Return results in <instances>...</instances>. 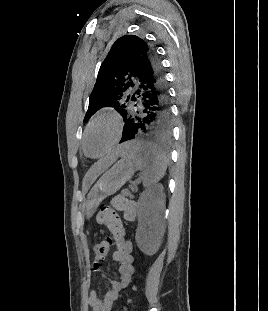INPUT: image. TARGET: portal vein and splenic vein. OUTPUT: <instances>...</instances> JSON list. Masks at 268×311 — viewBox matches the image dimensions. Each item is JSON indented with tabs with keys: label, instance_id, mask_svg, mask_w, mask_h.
<instances>
[{
	"label": "portal vein and splenic vein",
	"instance_id": "portal-vein-and-splenic-vein-1",
	"mask_svg": "<svg viewBox=\"0 0 268 311\" xmlns=\"http://www.w3.org/2000/svg\"><path fill=\"white\" fill-rule=\"evenodd\" d=\"M123 194H124V195H128L129 193H128V192H123Z\"/></svg>",
	"mask_w": 268,
	"mask_h": 311
}]
</instances>
